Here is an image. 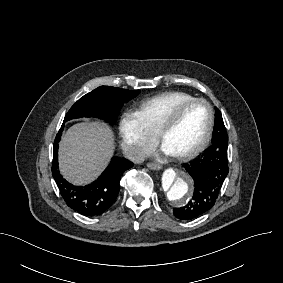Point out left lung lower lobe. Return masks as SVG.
<instances>
[{"label":"left lung lower lobe","mask_w":283,"mask_h":283,"mask_svg":"<svg viewBox=\"0 0 283 283\" xmlns=\"http://www.w3.org/2000/svg\"><path fill=\"white\" fill-rule=\"evenodd\" d=\"M227 143L228 136L222 116H215L212 145L197 159L184 165L193 179L194 193L186 206L174 208L177 218L191 220L214 206L229 171Z\"/></svg>","instance_id":"1"}]
</instances>
